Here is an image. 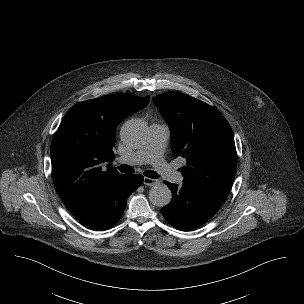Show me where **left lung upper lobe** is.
<instances>
[{
  "label": "left lung upper lobe",
  "instance_id": "5c2ea615",
  "mask_svg": "<svg viewBox=\"0 0 304 304\" xmlns=\"http://www.w3.org/2000/svg\"><path fill=\"white\" fill-rule=\"evenodd\" d=\"M153 102L169 124L174 155L187 160L180 169L183 186L224 201L237 166L225 117L215 107L176 92L157 95Z\"/></svg>",
  "mask_w": 304,
  "mask_h": 304
}]
</instances>
